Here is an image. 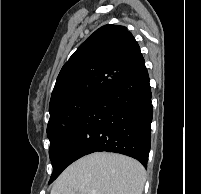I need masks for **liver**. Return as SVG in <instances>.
Wrapping results in <instances>:
<instances>
[{"label": "liver", "mask_w": 201, "mask_h": 194, "mask_svg": "<svg viewBox=\"0 0 201 194\" xmlns=\"http://www.w3.org/2000/svg\"><path fill=\"white\" fill-rule=\"evenodd\" d=\"M145 169L135 159L106 152L87 155L56 179L51 194H142Z\"/></svg>", "instance_id": "1"}]
</instances>
